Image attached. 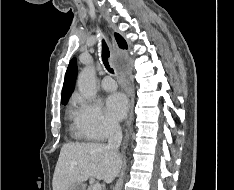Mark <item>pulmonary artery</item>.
Masks as SVG:
<instances>
[{
	"mask_svg": "<svg viewBox=\"0 0 234 190\" xmlns=\"http://www.w3.org/2000/svg\"><path fill=\"white\" fill-rule=\"evenodd\" d=\"M102 88L106 91H113L117 88V84L111 76L106 75L102 80Z\"/></svg>",
	"mask_w": 234,
	"mask_h": 190,
	"instance_id": "e3ab8cb5",
	"label": "pulmonary artery"
}]
</instances>
